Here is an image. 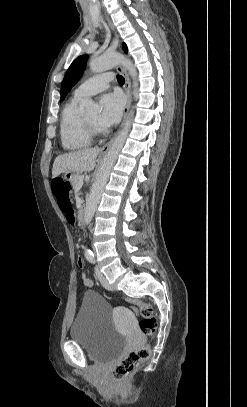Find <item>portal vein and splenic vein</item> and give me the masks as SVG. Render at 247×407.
I'll use <instances>...</instances> for the list:
<instances>
[{"label":"portal vein and splenic vein","mask_w":247,"mask_h":407,"mask_svg":"<svg viewBox=\"0 0 247 407\" xmlns=\"http://www.w3.org/2000/svg\"><path fill=\"white\" fill-rule=\"evenodd\" d=\"M82 185H83V178L80 179L78 187H82Z\"/></svg>","instance_id":"obj_1"}]
</instances>
